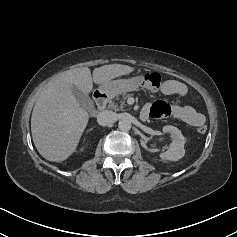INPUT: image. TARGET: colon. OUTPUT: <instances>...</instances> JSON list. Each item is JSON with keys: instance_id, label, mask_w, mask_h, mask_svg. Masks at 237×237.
Instances as JSON below:
<instances>
[{"instance_id": "colon-1", "label": "colon", "mask_w": 237, "mask_h": 237, "mask_svg": "<svg viewBox=\"0 0 237 237\" xmlns=\"http://www.w3.org/2000/svg\"><path fill=\"white\" fill-rule=\"evenodd\" d=\"M141 83H142L143 87L146 90L155 92L161 86V76L157 72H145L142 75ZM198 132L199 133H205L206 132V126L205 125L200 126L198 128Z\"/></svg>"}]
</instances>
